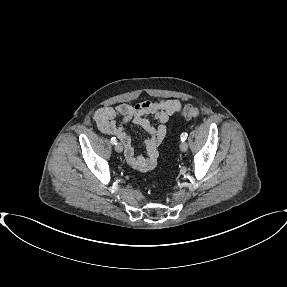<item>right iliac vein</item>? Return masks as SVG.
Masks as SVG:
<instances>
[{"instance_id":"right-iliac-vein-1","label":"right iliac vein","mask_w":287,"mask_h":287,"mask_svg":"<svg viewBox=\"0 0 287 287\" xmlns=\"http://www.w3.org/2000/svg\"><path fill=\"white\" fill-rule=\"evenodd\" d=\"M115 150H116V152L121 153L123 151L122 144L121 143L116 144Z\"/></svg>"}]
</instances>
